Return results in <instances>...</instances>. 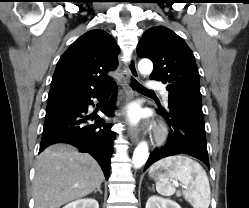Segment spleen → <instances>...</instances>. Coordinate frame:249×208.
Instances as JSON below:
<instances>
[{
  "label": "spleen",
  "instance_id": "3e777b00",
  "mask_svg": "<svg viewBox=\"0 0 249 208\" xmlns=\"http://www.w3.org/2000/svg\"><path fill=\"white\" fill-rule=\"evenodd\" d=\"M166 174H160L156 180V190L164 196L175 193L172 179L179 180L184 186V198L193 208H208L210 204L211 191L206 171L196 161L185 155H174L157 161L149 169V174L160 168L168 169Z\"/></svg>",
  "mask_w": 249,
  "mask_h": 208
}]
</instances>
